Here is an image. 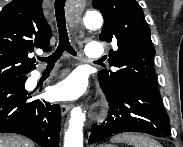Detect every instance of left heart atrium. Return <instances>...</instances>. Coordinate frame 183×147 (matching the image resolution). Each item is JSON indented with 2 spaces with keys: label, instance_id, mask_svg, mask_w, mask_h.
Listing matches in <instances>:
<instances>
[{
  "label": "left heart atrium",
  "instance_id": "39dd6f15",
  "mask_svg": "<svg viewBox=\"0 0 183 147\" xmlns=\"http://www.w3.org/2000/svg\"><path fill=\"white\" fill-rule=\"evenodd\" d=\"M85 80L78 75H70L53 88L54 97L58 100H74L84 94Z\"/></svg>",
  "mask_w": 183,
  "mask_h": 147
}]
</instances>
